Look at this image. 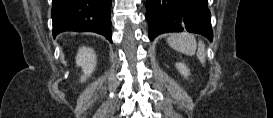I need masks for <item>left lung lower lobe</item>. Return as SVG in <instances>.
Masks as SVG:
<instances>
[{"label": "left lung lower lobe", "mask_w": 273, "mask_h": 118, "mask_svg": "<svg viewBox=\"0 0 273 118\" xmlns=\"http://www.w3.org/2000/svg\"><path fill=\"white\" fill-rule=\"evenodd\" d=\"M207 0H147L146 19L149 39L165 32L198 33L213 39Z\"/></svg>", "instance_id": "obj_1"}]
</instances>
